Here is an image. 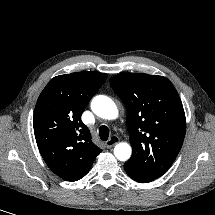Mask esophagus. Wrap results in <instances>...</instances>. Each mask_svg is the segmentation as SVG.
<instances>
[{"instance_id":"esophagus-1","label":"esophagus","mask_w":215,"mask_h":215,"mask_svg":"<svg viewBox=\"0 0 215 215\" xmlns=\"http://www.w3.org/2000/svg\"><path fill=\"white\" fill-rule=\"evenodd\" d=\"M119 142V138L116 135H113L107 142L106 147L111 148Z\"/></svg>"}]
</instances>
